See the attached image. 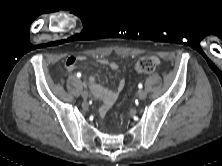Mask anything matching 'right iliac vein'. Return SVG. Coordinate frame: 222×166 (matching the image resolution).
Returning a JSON list of instances; mask_svg holds the SVG:
<instances>
[{
  "label": "right iliac vein",
  "instance_id": "1",
  "mask_svg": "<svg viewBox=\"0 0 222 166\" xmlns=\"http://www.w3.org/2000/svg\"><path fill=\"white\" fill-rule=\"evenodd\" d=\"M81 95H82L83 99H87L89 97V93L87 91H83L81 93Z\"/></svg>",
  "mask_w": 222,
  "mask_h": 166
}]
</instances>
